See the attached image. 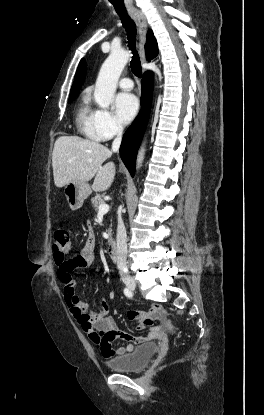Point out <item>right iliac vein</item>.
I'll list each match as a JSON object with an SVG mask.
<instances>
[{"label": "right iliac vein", "instance_id": "1", "mask_svg": "<svg viewBox=\"0 0 264 415\" xmlns=\"http://www.w3.org/2000/svg\"><path fill=\"white\" fill-rule=\"evenodd\" d=\"M125 284L127 285L128 288L130 289H134L136 287V283L134 280H126Z\"/></svg>", "mask_w": 264, "mask_h": 415}]
</instances>
